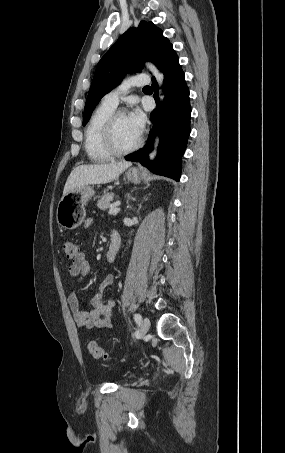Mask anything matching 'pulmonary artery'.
I'll return each mask as SVG.
<instances>
[{
  "mask_svg": "<svg viewBox=\"0 0 285 453\" xmlns=\"http://www.w3.org/2000/svg\"><path fill=\"white\" fill-rule=\"evenodd\" d=\"M149 83V77L146 74H136L125 79L118 87L109 91L103 101L111 106L116 107L121 96L129 92L133 86H143Z\"/></svg>",
  "mask_w": 285,
  "mask_h": 453,
  "instance_id": "obj_1",
  "label": "pulmonary artery"
}]
</instances>
